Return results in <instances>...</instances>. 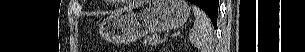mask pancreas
Wrapping results in <instances>:
<instances>
[{
	"label": "pancreas",
	"mask_w": 305,
	"mask_h": 52,
	"mask_svg": "<svg viewBox=\"0 0 305 52\" xmlns=\"http://www.w3.org/2000/svg\"><path fill=\"white\" fill-rule=\"evenodd\" d=\"M162 42L161 38L157 34H153L150 36H147L146 39L143 40V45H158Z\"/></svg>",
	"instance_id": "cf45deb5"
}]
</instances>
